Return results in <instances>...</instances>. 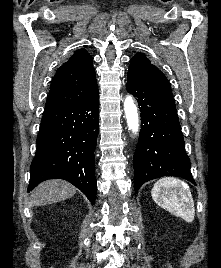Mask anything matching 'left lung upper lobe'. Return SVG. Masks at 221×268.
<instances>
[{
	"label": "left lung upper lobe",
	"mask_w": 221,
	"mask_h": 268,
	"mask_svg": "<svg viewBox=\"0 0 221 268\" xmlns=\"http://www.w3.org/2000/svg\"><path fill=\"white\" fill-rule=\"evenodd\" d=\"M127 78L148 88L171 92L170 84L165 75L152 65L143 53H137L130 60Z\"/></svg>",
	"instance_id": "obj_1"
}]
</instances>
